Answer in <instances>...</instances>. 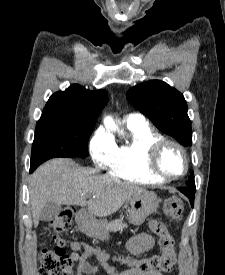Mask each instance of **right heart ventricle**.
<instances>
[{
  "label": "right heart ventricle",
  "instance_id": "1",
  "mask_svg": "<svg viewBox=\"0 0 225 275\" xmlns=\"http://www.w3.org/2000/svg\"><path fill=\"white\" fill-rule=\"evenodd\" d=\"M129 140L116 146L108 167L110 175L139 184H158L164 180L154 175L147 166V153L151 145L164 137L147 123L128 125Z\"/></svg>",
  "mask_w": 225,
  "mask_h": 275
}]
</instances>
